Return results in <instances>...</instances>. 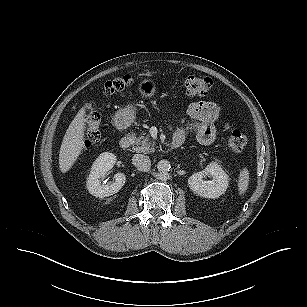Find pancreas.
Returning <instances> with one entry per match:
<instances>
[{
  "mask_svg": "<svg viewBox=\"0 0 307 307\" xmlns=\"http://www.w3.org/2000/svg\"><path fill=\"white\" fill-rule=\"evenodd\" d=\"M142 133L138 137L134 133L131 136L134 139L133 150L138 153H152L155 151V141L150 140L148 136Z\"/></svg>",
  "mask_w": 307,
  "mask_h": 307,
  "instance_id": "obj_1",
  "label": "pancreas"
}]
</instances>
